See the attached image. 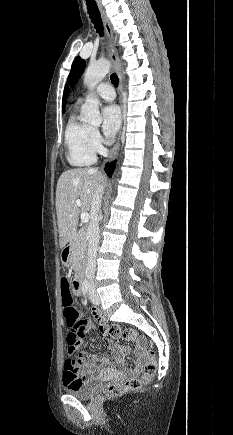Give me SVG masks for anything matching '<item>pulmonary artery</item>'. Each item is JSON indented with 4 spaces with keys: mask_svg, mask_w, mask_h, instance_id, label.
Returning <instances> with one entry per match:
<instances>
[{
    "mask_svg": "<svg viewBox=\"0 0 233 435\" xmlns=\"http://www.w3.org/2000/svg\"><path fill=\"white\" fill-rule=\"evenodd\" d=\"M95 94L106 100V101H112L115 98V94L113 91V88L111 85L107 84V83H101L97 86V88L95 89ZM87 96L86 93L83 94V96L79 99V101H83V99Z\"/></svg>",
    "mask_w": 233,
    "mask_h": 435,
    "instance_id": "obj_1",
    "label": "pulmonary artery"
}]
</instances>
